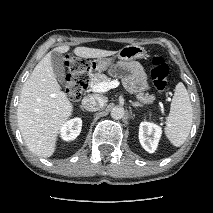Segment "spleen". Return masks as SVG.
<instances>
[{"label": "spleen", "instance_id": "1", "mask_svg": "<svg viewBox=\"0 0 213 213\" xmlns=\"http://www.w3.org/2000/svg\"><path fill=\"white\" fill-rule=\"evenodd\" d=\"M193 122V109L190 97L182 82L175 87L170 113L167 117L165 134L169 141L180 147L186 141Z\"/></svg>", "mask_w": 213, "mask_h": 213}]
</instances>
